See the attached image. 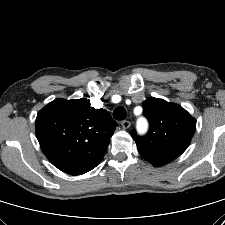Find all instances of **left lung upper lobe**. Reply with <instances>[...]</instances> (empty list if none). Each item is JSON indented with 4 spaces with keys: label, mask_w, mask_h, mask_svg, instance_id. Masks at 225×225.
Here are the masks:
<instances>
[{
    "label": "left lung upper lobe",
    "mask_w": 225,
    "mask_h": 225,
    "mask_svg": "<svg viewBox=\"0 0 225 225\" xmlns=\"http://www.w3.org/2000/svg\"><path fill=\"white\" fill-rule=\"evenodd\" d=\"M144 115L150 123L147 135L132 131L141 156L155 166L179 157L189 146L196 130V120L181 106L150 97L143 102Z\"/></svg>",
    "instance_id": "obj_1"
}]
</instances>
